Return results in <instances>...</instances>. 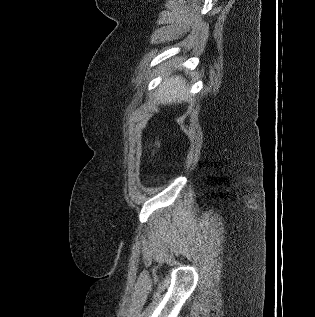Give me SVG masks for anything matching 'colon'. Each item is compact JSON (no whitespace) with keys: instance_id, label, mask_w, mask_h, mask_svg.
<instances>
[{"instance_id":"colon-1","label":"colon","mask_w":315,"mask_h":317,"mask_svg":"<svg viewBox=\"0 0 315 317\" xmlns=\"http://www.w3.org/2000/svg\"><path fill=\"white\" fill-rule=\"evenodd\" d=\"M161 145H162V136H159L156 141H155V144H154V147H153V150L151 152V155H150V160L152 161L155 156L157 155L158 151L160 150L161 148Z\"/></svg>"}]
</instances>
